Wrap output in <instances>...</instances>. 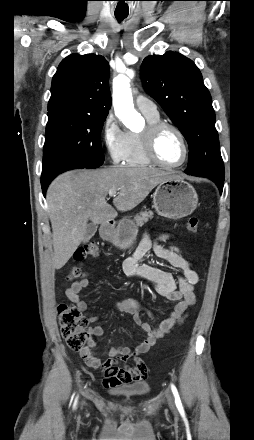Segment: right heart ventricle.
<instances>
[{"label":"right heart ventricle","instance_id":"1","mask_svg":"<svg viewBox=\"0 0 254 440\" xmlns=\"http://www.w3.org/2000/svg\"><path fill=\"white\" fill-rule=\"evenodd\" d=\"M144 116L148 124L160 121L159 114H144ZM124 162L127 166L132 167H147L153 165L145 153L142 132H130L129 146Z\"/></svg>","mask_w":254,"mask_h":440}]
</instances>
